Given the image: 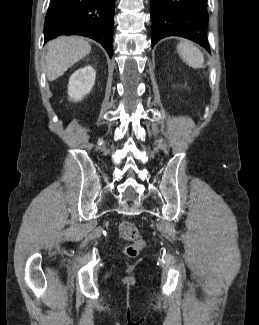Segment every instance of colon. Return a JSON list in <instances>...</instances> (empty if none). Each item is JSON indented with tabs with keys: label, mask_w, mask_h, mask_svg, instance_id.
<instances>
[{
	"label": "colon",
	"mask_w": 259,
	"mask_h": 325,
	"mask_svg": "<svg viewBox=\"0 0 259 325\" xmlns=\"http://www.w3.org/2000/svg\"><path fill=\"white\" fill-rule=\"evenodd\" d=\"M119 234L123 240L128 242L124 247V254L126 256L136 257L144 248L145 242L134 223L122 221L119 225Z\"/></svg>",
	"instance_id": "obj_1"
}]
</instances>
